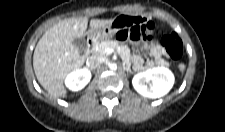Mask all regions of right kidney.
Wrapping results in <instances>:
<instances>
[{
  "label": "right kidney",
  "mask_w": 225,
  "mask_h": 132,
  "mask_svg": "<svg viewBox=\"0 0 225 132\" xmlns=\"http://www.w3.org/2000/svg\"><path fill=\"white\" fill-rule=\"evenodd\" d=\"M90 79H91L90 70L84 68L76 70L67 75L65 79V84L70 90L79 91L89 83Z\"/></svg>",
  "instance_id": "ca27d5eb"
}]
</instances>
